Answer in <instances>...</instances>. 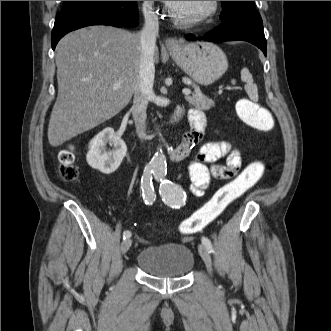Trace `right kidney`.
I'll use <instances>...</instances> for the list:
<instances>
[{
  "label": "right kidney",
  "instance_id": "ca27d5eb",
  "mask_svg": "<svg viewBox=\"0 0 331 331\" xmlns=\"http://www.w3.org/2000/svg\"><path fill=\"white\" fill-rule=\"evenodd\" d=\"M107 144L113 146L111 151H107ZM126 152L125 142L115 134L113 128L107 127L90 141L86 159L92 168L103 174H111L120 166Z\"/></svg>",
  "mask_w": 331,
  "mask_h": 331
}]
</instances>
